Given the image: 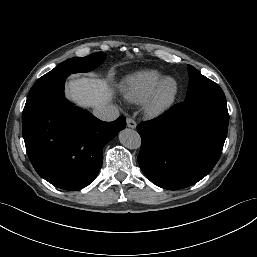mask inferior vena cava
Masks as SVG:
<instances>
[{
  "label": "inferior vena cava",
  "mask_w": 257,
  "mask_h": 257,
  "mask_svg": "<svg viewBox=\"0 0 257 257\" xmlns=\"http://www.w3.org/2000/svg\"><path fill=\"white\" fill-rule=\"evenodd\" d=\"M93 114L102 121H114L119 117V110L116 106L107 105L98 107Z\"/></svg>",
  "instance_id": "obj_1"
}]
</instances>
